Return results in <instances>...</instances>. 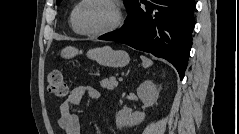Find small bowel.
Here are the masks:
<instances>
[{
  "label": "small bowel",
  "mask_w": 239,
  "mask_h": 134,
  "mask_svg": "<svg viewBox=\"0 0 239 134\" xmlns=\"http://www.w3.org/2000/svg\"><path fill=\"white\" fill-rule=\"evenodd\" d=\"M85 96L92 100H96L99 99L100 92L92 86L80 85L60 104L58 125L65 134H80V120L72 111V107L78 105Z\"/></svg>",
  "instance_id": "obj_1"
}]
</instances>
